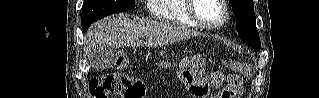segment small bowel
I'll return each instance as SVG.
<instances>
[{
  "label": "small bowel",
  "mask_w": 319,
  "mask_h": 98,
  "mask_svg": "<svg viewBox=\"0 0 319 98\" xmlns=\"http://www.w3.org/2000/svg\"><path fill=\"white\" fill-rule=\"evenodd\" d=\"M225 81L226 79L223 76H216L214 77V79L211 80L210 84L212 87H217L222 85Z\"/></svg>",
  "instance_id": "obj_1"
}]
</instances>
